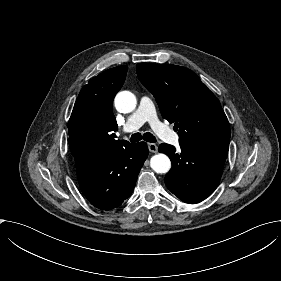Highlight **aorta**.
Here are the masks:
<instances>
[{
  "mask_svg": "<svg viewBox=\"0 0 281 281\" xmlns=\"http://www.w3.org/2000/svg\"><path fill=\"white\" fill-rule=\"evenodd\" d=\"M114 103L118 112L130 113L135 109L137 100L133 93L121 91L116 95ZM150 166L157 173H167L171 168V161L167 155L159 153L151 157Z\"/></svg>",
  "mask_w": 281,
  "mask_h": 281,
  "instance_id": "aorta-1",
  "label": "aorta"
}]
</instances>
